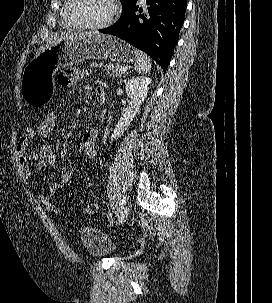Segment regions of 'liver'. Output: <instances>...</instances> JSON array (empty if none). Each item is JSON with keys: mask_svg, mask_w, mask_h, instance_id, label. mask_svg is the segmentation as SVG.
I'll return each instance as SVG.
<instances>
[{"mask_svg": "<svg viewBox=\"0 0 272 303\" xmlns=\"http://www.w3.org/2000/svg\"><path fill=\"white\" fill-rule=\"evenodd\" d=\"M92 34H96V32H84V33H77V32H64L61 34H55L51 37H49L46 41L45 45H42L36 52V55H39L41 52H43L46 48H48L49 46H52L54 44H57L63 40L66 39H73V38H78V37H85L87 35H92Z\"/></svg>", "mask_w": 272, "mask_h": 303, "instance_id": "obj_1", "label": "liver"}]
</instances>
